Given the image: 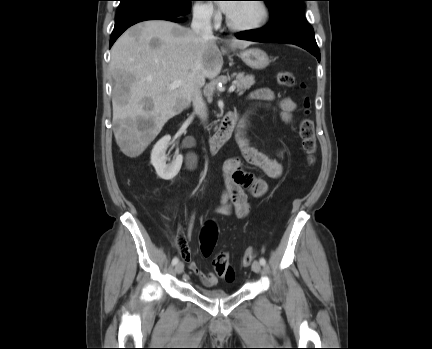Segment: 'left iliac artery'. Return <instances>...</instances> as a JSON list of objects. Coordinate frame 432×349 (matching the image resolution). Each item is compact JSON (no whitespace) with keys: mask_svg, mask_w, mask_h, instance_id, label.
<instances>
[{"mask_svg":"<svg viewBox=\"0 0 432 349\" xmlns=\"http://www.w3.org/2000/svg\"><path fill=\"white\" fill-rule=\"evenodd\" d=\"M259 261L262 266L266 264V260L263 257H261Z\"/></svg>","mask_w":432,"mask_h":349,"instance_id":"obj_1","label":"left iliac artery"}]
</instances>
